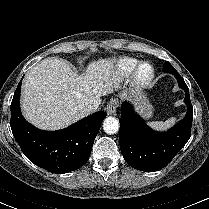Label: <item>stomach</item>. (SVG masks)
Instances as JSON below:
<instances>
[{
    "mask_svg": "<svg viewBox=\"0 0 209 209\" xmlns=\"http://www.w3.org/2000/svg\"><path fill=\"white\" fill-rule=\"evenodd\" d=\"M137 111L145 118L149 119L153 115V106L150 104L147 97L141 93H133L131 96Z\"/></svg>",
    "mask_w": 209,
    "mask_h": 209,
    "instance_id": "obj_1",
    "label": "stomach"
}]
</instances>
